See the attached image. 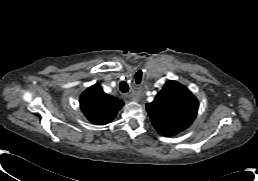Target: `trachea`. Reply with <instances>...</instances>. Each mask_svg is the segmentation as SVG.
<instances>
[{
  "label": "trachea",
  "instance_id": "trachea-1",
  "mask_svg": "<svg viewBox=\"0 0 258 181\" xmlns=\"http://www.w3.org/2000/svg\"><path fill=\"white\" fill-rule=\"evenodd\" d=\"M120 90L123 92V93H125V92H128V90H129V86H128V84L125 82V81H122L121 83H120Z\"/></svg>",
  "mask_w": 258,
  "mask_h": 181
}]
</instances>
